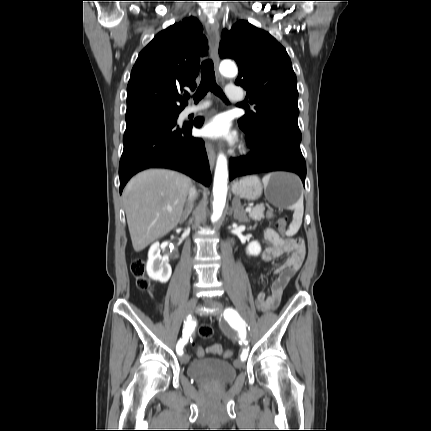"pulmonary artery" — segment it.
I'll use <instances>...</instances> for the list:
<instances>
[{"instance_id": "obj_1", "label": "pulmonary artery", "mask_w": 431, "mask_h": 431, "mask_svg": "<svg viewBox=\"0 0 431 431\" xmlns=\"http://www.w3.org/2000/svg\"><path fill=\"white\" fill-rule=\"evenodd\" d=\"M225 93H226V97L231 101H240L243 98L242 90L238 86L233 84H228L225 87ZM207 106L208 104L204 103L198 106L188 107L185 110V114L196 113L206 108Z\"/></svg>"}]
</instances>
